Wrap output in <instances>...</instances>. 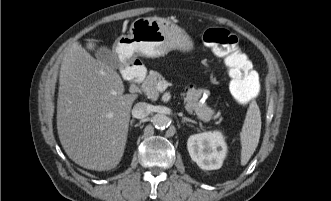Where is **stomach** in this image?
<instances>
[{
    "label": "stomach",
    "instance_id": "0dacf381",
    "mask_svg": "<svg viewBox=\"0 0 331 201\" xmlns=\"http://www.w3.org/2000/svg\"><path fill=\"white\" fill-rule=\"evenodd\" d=\"M193 41L187 33L171 21L160 17H141L134 20L128 35H121L115 41V50L126 63L140 55L157 58L172 50L188 52Z\"/></svg>",
    "mask_w": 331,
    "mask_h": 201
}]
</instances>
